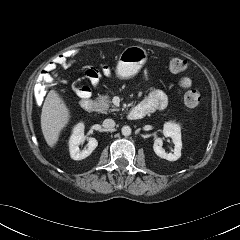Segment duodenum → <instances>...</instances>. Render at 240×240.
I'll use <instances>...</instances> for the list:
<instances>
[{
    "label": "duodenum",
    "mask_w": 240,
    "mask_h": 240,
    "mask_svg": "<svg viewBox=\"0 0 240 240\" xmlns=\"http://www.w3.org/2000/svg\"><path fill=\"white\" fill-rule=\"evenodd\" d=\"M80 106L83 111L89 113L93 111L95 104L94 101L90 98H82L80 101ZM144 116L145 113L137 107L131 109L128 113V118L131 120L142 119Z\"/></svg>",
    "instance_id": "duodenum-1"
}]
</instances>
